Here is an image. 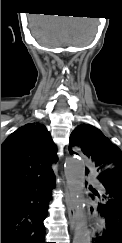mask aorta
Returning <instances> with one entry per match:
<instances>
[{"label": "aorta", "instance_id": "1", "mask_svg": "<svg viewBox=\"0 0 122 243\" xmlns=\"http://www.w3.org/2000/svg\"><path fill=\"white\" fill-rule=\"evenodd\" d=\"M65 176L72 196L79 201L83 194L85 165L79 159L70 158L65 163ZM79 223L76 226L73 243H91L90 232L86 226L83 209L77 206Z\"/></svg>", "mask_w": 122, "mask_h": 243}]
</instances>
